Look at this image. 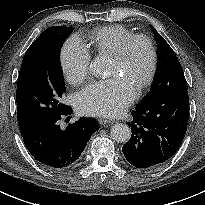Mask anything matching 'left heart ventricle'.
<instances>
[{
  "label": "left heart ventricle",
  "instance_id": "b2bd125f",
  "mask_svg": "<svg viewBox=\"0 0 205 205\" xmlns=\"http://www.w3.org/2000/svg\"><path fill=\"white\" fill-rule=\"evenodd\" d=\"M150 62L147 46L139 41L136 42L127 58L122 62L113 59L111 76H122L130 80L135 86L144 78Z\"/></svg>",
  "mask_w": 205,
  "mask_h": 205
}]
</instances>
